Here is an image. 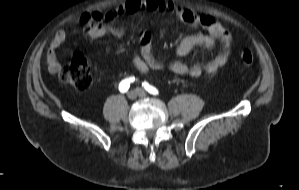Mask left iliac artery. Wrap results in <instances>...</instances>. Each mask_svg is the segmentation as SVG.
I'll use <instances>...</instances> for the list:
<instances>
[{
	"label": "left iliac artery",
	"mask_w": 299,
	"mask_h": 190,
	"mask_svg": "<svg viewBox=\"0 0 299 190\" xmlns=\"http://www.w3.org/2000/svg\"><path fill=\"white\" fill-rule=\"evenodd\" d=\"M144 86L145 90L148 91L149 93L156 95L158 93L157 89L151 85H149L147 82L142 83Z\"/></svg>",
	"instance_id": "left-iliac-artery-1"
}]
</instances>
